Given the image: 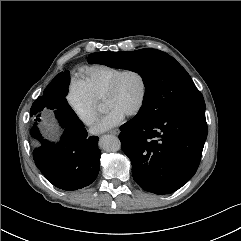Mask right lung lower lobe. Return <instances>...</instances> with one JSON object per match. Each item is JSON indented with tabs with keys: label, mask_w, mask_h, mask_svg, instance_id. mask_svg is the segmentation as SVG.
Returning a JSON list of instances; mask_svg holds the SVG:
<instances>
[{
	"label": "right lung lower lobe",
	"mask_w": 241,
	"mask_h": 241,
	"mask_svg": "<svg viewBox=\"0 0 241 241\" xmlns=\"http://www.w3.org/2000/svg\"><path fill=\"white\" fill-rule=\"evenodd\" d=\"M58 142L40 138L41 146L33 151L36 166L54 186L77 190L90 185L100 168L98 137H88L83 127H62Z\"/></svg>",
	"instance_id": "98d812e1"
}]
</instances>
